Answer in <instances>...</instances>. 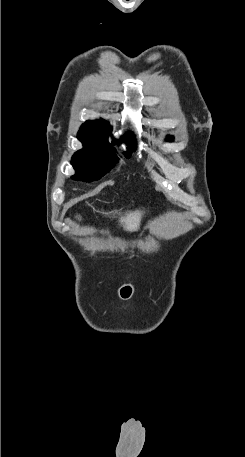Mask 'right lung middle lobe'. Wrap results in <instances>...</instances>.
Returning a JSON list of instances; mask_svg holds the SVG:
<instances>
[{
  "label": "right lung middle lobe",
  "mask_w": 245,
  "mask_h": 457,
  "mask_svg": "<svg viewBox=\"0 0 245 457\" xmlns=\"http://www.w3.org/2000/svg\"><path fill=\"white\" fill-rule=\"evenodd\" d=\"M108 134V128L81 126L77 137L83 143V149L72 157L71 164L76 170V175L72 176V179L86 182L97 180L116 164L118 158L112 146L115 143H108ZM123 141L127 142L131 151L135 150L132 134L124 136ZM129 156L128 150L126 157Z\"/></svg>",
  "instance_id": "1"
}]
</instances>
